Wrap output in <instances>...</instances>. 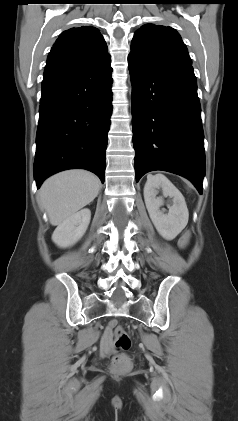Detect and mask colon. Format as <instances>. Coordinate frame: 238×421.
Wrapping results in <instances>:
<instances>
[{
	"label": "colon",
	"instance_id": "colon-1",
	"mask_svg": "<svg viewBox=\"0 0 238 421\" xmlns=\"http://www.w3.org/2000/svg\"><path fill=\"white\" fill-rule=\"evenodd\" d=\"M188 241L189 234L186 233L180 239V246L185 247L188 244ZM108 333L114 342L115 349L118 351L111 361V368L115 372H125L131 366L130 358L124 353L131 346L130 337L125 329L115 322L111 323Z\"/></svg>",
	"mask_w": 238,
	"mask_h": 421
}]
</instances>
